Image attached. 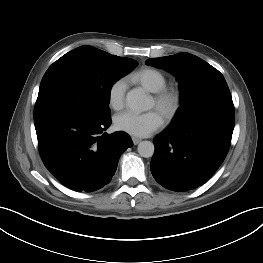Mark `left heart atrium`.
I'll return each instance as SVG.
<instances>
[{
    "mask_svg": "<svg viewBox=\"0 0 263 263\" xmlns=\"http://www.w3.org/2000/svg\"><path fill=\"white\" fill-rule=\"evenodd\" d=\"M163 124L161 114L156 110L145 113L126 111L114 118L115 127L133 136L144 137Z\"/></svg>",
    "mask_w": 263,
    "mask_h": 263,
    "instance_id": "left-heart-atrium-1",
    "label": "left heart atrium"
}]
</instances>
